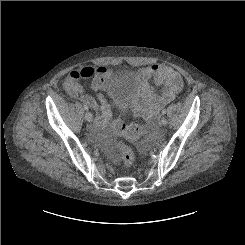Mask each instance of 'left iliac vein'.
<instances>
[{
	"label": "left iliac vein",
	"mask_w": 245,
	"mask_h": 245,
	"mask_svg": "<svg viewBox=\"0 0 245 245\" xmlns=\"http://www.w3.org/2000/svg\"><path fill=\"white\" fill-rule=\"evenodd\" d=\"M159 123L162 125V126H166L168 124V121L166 119V117H162L159 121Z\"/></svg>",
	"instance_id": "4c4485c4"
}]
</instances>
